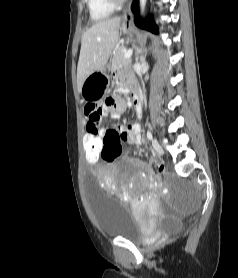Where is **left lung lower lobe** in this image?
<instances>
[{
    "label": "left lung lower lobe",
    "mask_w": 238,
    "mask_h": 278,
    "mask_svg": "<svg viewBox=\"0 0 238 278\" xmlns=\"http://www.w3.org/2000/svg\"><path fill=\"white\" fill-rule=\"evenodd\" d=\"M137 11H138V0H134V3L132 5V12L135 14V20H134L135 24L138 27H142L149 31L157 33V28L155 24L152 21H148L146 24L142 23V21L137 17Z\"/></svg>",
    "instance_id": "obj_1"
}]
</instances>
